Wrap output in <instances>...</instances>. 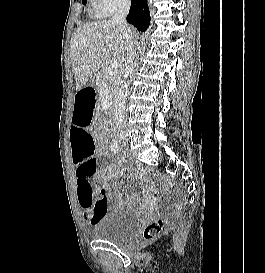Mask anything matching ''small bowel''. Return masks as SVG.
Returning a JSON list of instances; mask_svg holds the SVG:
<instances>
[{
    "label": "small bowel",
    "instance_id": "small-bowel-1",
    "mask_svg": "<svg viewBox=\"0 0 265 273\" xmlns=\"http://www.w3.org/2000/svg\"><path fill=\"white\" fill-rule=\"evenodd\" d=\"M95 91H80L75 97L73 125L70 129L72 158L75 165V183L78 203L82 210L83 219L90 225L94 224L108 209L107 186L111 178L120 174L125 159L118 164H109L97 168L95 154L105 155L104 145L96 149L93 139L86 136L92 123L95 107ZM94 180V186L91 183ZM102 207L98 210L97 206Z\"/></svg>",
    "mask_w": 265,
    "mask_h": 273
}]
</instances>
